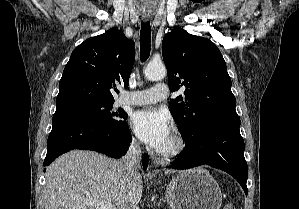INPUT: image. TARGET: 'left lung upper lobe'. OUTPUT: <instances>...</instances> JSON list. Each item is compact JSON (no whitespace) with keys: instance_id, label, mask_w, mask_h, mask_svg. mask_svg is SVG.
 Masks as SVG:
<instances>
[{"instance_id":"5c2ea615","label":"left lung upper lobe","mask_w":299,"mask_h":209,"mask_svg":"<svg viewBox=\"0 0 299 209\" xmlns=\"http://www.w3.org/2000/svg\"><path fill=\"white\" fill-rule=\"evenodd\" d=\"M162 55L170 90L184 89L183 96L169 104L183 139L191 138L216 117L236 113L231 78L213 42L175 28L162 41Z\"/></svg>"}]
</instances>
